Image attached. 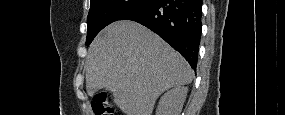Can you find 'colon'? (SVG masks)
<instances>
[{
    "instance_id": "obj_1",
    "label": "colon",
    "mask_w": 285,
    "mask_h": 115,
    "mask_svg": "<svg viewBox=\"0 0 285 115\" xmlns=\"http://www.w3.org/2000/svg\"><path fill=\"white\" fill-rule=\"evenodd\" d=\"M92 108L96 115H112V108L106 105L105 95L99 94L92 102Z\"/></svg>"
}]
</instances>
